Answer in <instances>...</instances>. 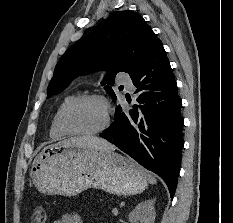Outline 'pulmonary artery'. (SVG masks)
Returning <instances> with one entry per match:
<instances>
[{
	"label": "pulmonary artery",
	"mask_w": 233,
	"mask_h": 223,
	"mask_svg": "<svg viewBox=\"0 0 233 223\" xmlns=\"http://www.w3.org/2000/svg\"><path fill=\"white\" fill-rule=\"evenodd\" d=\"M117 79H122L120 82L124 84L130 91L134 90V84L131 80L132 75L131 74H124V70H117Z\"/></svg>",
	"instance_id": "pulmonary-artery-1"
}]
</instances>
